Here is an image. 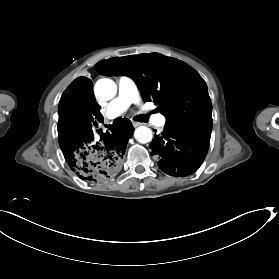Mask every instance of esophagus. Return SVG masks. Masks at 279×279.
<instances>
[{"instance_id": "1", "label": "esophagus", "mask_w": 279, "mask_h": 279, "mask_svg": "<svg viewBox=\"0 0 279 279\" xmlns=\"http://www.w3.org/2000/svg\"><path fill=\"white\" fill-rule=\"evenodd\" d=\"M132 125H133V127H138V126H140L141 125V123H139V122H136V121H132Z\"/></svg>"}]
</instances>
